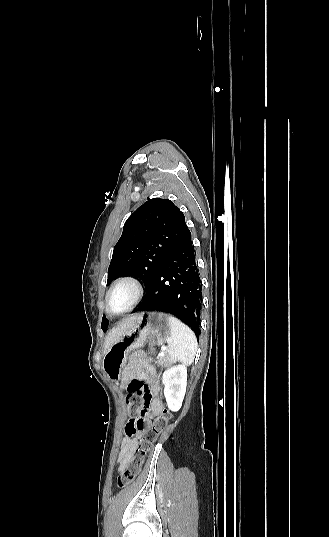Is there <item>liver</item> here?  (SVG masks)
<instances>
[{
	"mask_svg": "<svg viewBox=\"0 0 329 537\" xmlns=\"http://www.w3.org/2000/svg\"><path fill=\"white\" fill-rule=\"evenodd\" d=\"M137 316L124 319L117 327L110 330L105 339L104 354L135 323Z\"/></svg>",
	"mask_w": 329,
	"mask_h": 537,
	"instance_id": "obj_1",
	"label": "liver"
}]
</instances>
